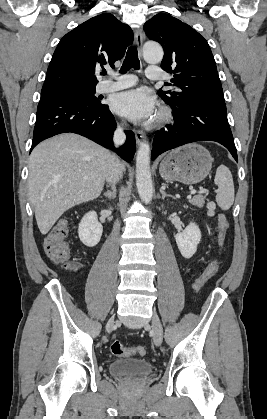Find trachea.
Returning a JSON list of instances; mask_svg holds the SVG:
<instances>
[{
  "instance_id": "3493384b",
  "label": "trachea",
  "mask_w": 267,
  "mask_h": 419,
  "mask_svg": "<svg viewBox=\"0 0 267 419\" xmlns=\"http://www.w3.org/2000/svg\"><path fill=\"white\" fill-rule=\"evenodd\" d=\"M131 68L138 70L140 68V61L138 59V52L135 46L129 47L126 57L123 61V65L121 67L120 73H125ZM104 75L106 72L103 73Z\"/></svg>"
}]
</instances>
